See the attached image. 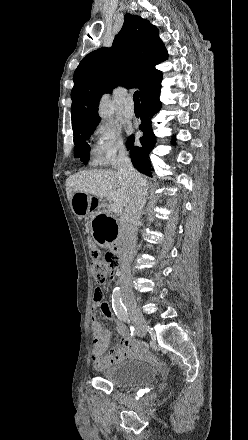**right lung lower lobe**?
Returning <instances> with one entry per match:
<instances>
[{"instance_id": "right-lung-lower-lobe-1", "label": "right lung lower lobe", "mask_w": 248, "mask_h": 440, "mask_svg": "<svg viewBox=\"0 0 248 440\" xmlns=\"http://www.w3.org/2000/svg\"><path fill=\"white\" fill-rule=\"evenodd\" d=\"M159 94L160 90H156L141 100L142 123L140 124L139 129L144 133L143 137L140 139L142 145L140 147L134 146L133 136H130L126 143L134 167L147 176H151L153 171L149 155L155 146L156 137L152 131L151 118L152 115L159 112L162 107V103L159 100ZM172 143L174 144V140H172Z\"/></svg>"}]
</instances>
